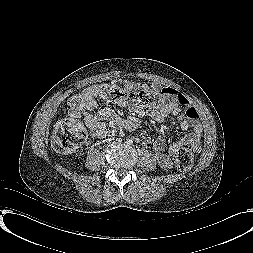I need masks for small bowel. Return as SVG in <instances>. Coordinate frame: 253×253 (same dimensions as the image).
I'll list each match as a JSON object with an SVG mask.
<instances>
[{
	"mask_svg": "<svg viewBox=\"0 0 253 253\" xmlns=\"http://www.w3.org/2000/svg\"><path fill=\"white\" fill-rule=\"evenodd\" d=\"M151 88L164 92V98L148 106L145 112L158 124H163L169 116H175L181 131L185 133L181 139L171 142L167 147L164 136H160L153 144L155 160L162 168L169 169L173 165L172 157L176 156L180 149L189 147L194 152L200 150L202 126L197 109L183 94L170 87L151 85ZM97 94L98 87L93 85L71 96L68 102L71 119L77 120L84 116L92 136L98 139L108 137L121 128L131 130L136 127L137 115L143 112L142 108L128 105V117L120 116L109 107L95 111ZM141 136L144 141L149 142L148 131H142Z\"/></svg>",
	"mask_w": 253,
	"mask_h": 253,
	"instance_id": "obj_1",
	"label": "small bowel"
}]
</instances>
